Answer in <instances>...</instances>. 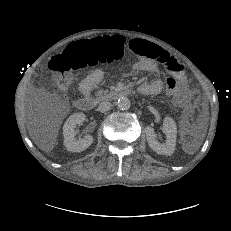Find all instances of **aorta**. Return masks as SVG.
<instances>
[{"label":"aorta","instance_id":"aorta-1","mask_svg":"<svg viewBox=\"0 0 231 231\" xmlns=\"http://www.w3.org/2000/svg\"><path fill=\"white\" fill-rule=\"evenodd\" d=\"M117 106L121 110H127L131 106V102L127 97H120L117 101Z\"/></svg>","mask_w":231,"mask_h":231}]
</instances>
